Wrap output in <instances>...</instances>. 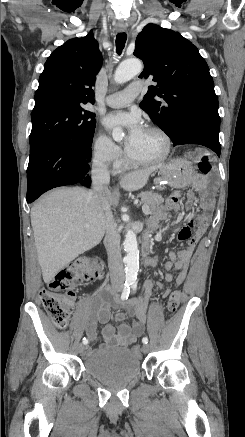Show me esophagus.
<instances>
[{
    "label": "esophagus",
    "instance_id": "esophagus-1",
    "mask_svg": "<svg viewBox=\"0 0 245 437\" xmlns=\"http://www.w3.org/2000/svg\"><path fill=\"white\" fill-rule=\"evenodd\" d=\"M116 29L120 32L125 31L126 30V25L122 22H119L116 24Z\"/></svg>",
    "mask_w": 245,
    "mask_h": 437
}]
</instances>
